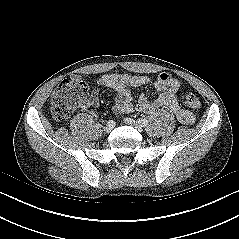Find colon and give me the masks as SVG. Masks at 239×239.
<instances>
[{"mask_svg": "<svg viewBox=\"0 0 239 239\" xmlns=\"http://www.w3.org/2000/svg\"><path fill=\"white\" fill-rule=\"evenodd\" d=\"M87 95L86 84L78 79H66L54 90L50 99V109L56 121L66 120L70 114L85 99ZM183 103L190 108L200 105L198 97L190 91L182 92Z\"/></svg>", "mask_w": 239, "mask_h": 239, "instance_id": "5ec220e1", "label": "colon"}]
</instances>
